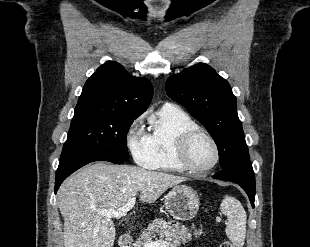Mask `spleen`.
<instances>
[{
	"label": "spleen",
	"instance_id": "obj_1",
	"mask_svg": "<svg viewBox=\"0 0 310 247\" xmlns=\"http://www.w3.org/2000/svg\"><path fill=\"white\" fill-rule=\"evenodd\" d=\"M221 211L227 215L226 235L234 247H242L246 236V212L234 197L226 195L221 202Z\"/></svg>",
	"mask_w": 310,
	"mask_h": 247
}]
</instances>
